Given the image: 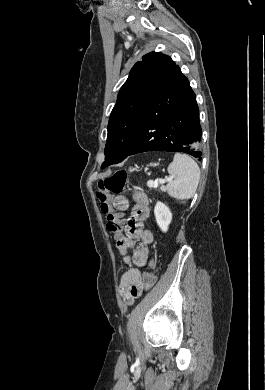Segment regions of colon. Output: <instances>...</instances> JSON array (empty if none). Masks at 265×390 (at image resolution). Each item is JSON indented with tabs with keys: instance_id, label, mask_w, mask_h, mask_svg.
<instances>
[{
	"instance_id": "colon-1",
	"label": "colon",
	"mask_w": 265,
	"mask_h": 390,
	"mask_svg": "<svg viewBox=\"0 0 265 390\" xmlns=\"http://www.w3.org/2000/svg\"><path fill=\"white\" fill-rule=\"evenodd\" d=\"M128 175L125 170H118L113 175L100 180L97 185V198L101 202V210L107 216L106 228L115 239L122 237L124 232V222L121 216L114 212L110 198L112 195L122 193L127 186ZM156 282L154 272L145 273L142 276L143 289L150 290Z\"/></svg>"
}]
</instances>
